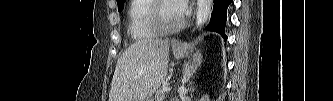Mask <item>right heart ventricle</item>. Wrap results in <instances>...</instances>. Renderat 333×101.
I'll return each mask as SVG.
<instances>
[{
	"label": "right heart ventricle",
	"mask_w": 333,
	"mask_h": 101,
	"mask_svg": "<svg viewBox=\"0 0 333 101\" xmlns=\"http://www.w3.org/2000/svg\"><path fill=\"white\" fill-rule=\"evenodd\" d=\"M153 0H133L129 9L128 31L135 41L152 40L158 33L151 27L148 19Z\"/></svg>",
	"instance_id": "1"
}]
</instances>
